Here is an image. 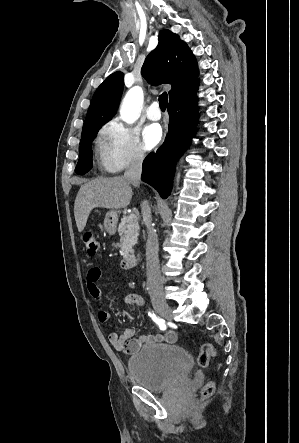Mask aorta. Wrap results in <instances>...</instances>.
Returning <instances> with one entry per match:
<instances>
[{"instance_id": "762f6f07", "label": "aorta", "mask_w": 299, "mask_h": 443, "mask_svg": "<svg viewBox=\"0 0 299 443\" xmlns=\"http://www.w3.org/2000/svg\"><path fill=\"white\" fill-rule=\"evenodd\" d=\"M144 94L141 87L131 88L125 95L120 116L128 124L134 123L140 116L141 106L143 104Z\"/></svg>"}]
</instances>
